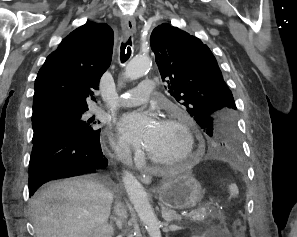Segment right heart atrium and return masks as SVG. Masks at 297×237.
<instances>
[{
  "instance_id": "d8ad5b80",
  "label": "right heart atrium",
  "mask_w": 297,
  "mask_h": 237,
  "mask_svg": "<svg viewBox=\"0 0 297 237\" xmlns=\"http://www.w3.org/2000/svg\"><path fill=\"white\" fill-rule=\"evenodd\" d=\"M111 145L115 155L120 160H128L133 153L131 146L122 138L112 140Z\"/></svg>"
}]
</instances>
